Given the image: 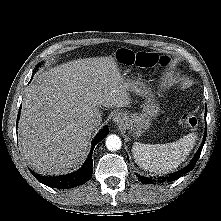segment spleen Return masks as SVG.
<instances>
[{
	"mask_svg": "<svg viewBox=\"0 0 221 221\" xmlns=\"http://www.w3.org/2000/svg\"><path fill=\"white\" fill-rule=\"evenodd\" d=\"M196 135L189 133L175 142L144 144L135 142L132 147L137 165L155 174H167L176 169L194 147Z\"/></svg>",
	"mask_w": 221,
	"mask_h": 221,
	"instance_id": "1",
	"label": "spleen"
}]
</instances>
